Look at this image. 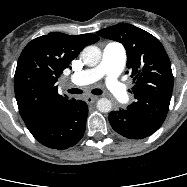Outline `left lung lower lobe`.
Returning a JSON list of instances; mask_svg holds the SVG:
<instances>
[{"label": "left lung lower lobe", "instance_id": "obj_1", "mask_svg": "<svg viewBox=\"0 0 187 187\" xmlns=\"http://www.w3.org/2000/svg\"><path fill=\"white\" fill-rule=\"evenodd\" d=\"M109 122L117 133L129 139L148 137L160 128L127 110L112 111L109 114Z\"/></svg>", "mask_w": 187, "mask_h": 187}]
</instances>
